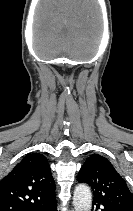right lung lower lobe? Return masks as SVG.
<instances>
[{"mask_svg": "<svg viewBox=\"0 0 133 211\" xmlns=\"http://www.w3.org/2000/svg\"><path fill=\"white\" fill-rule=\"evenodd\" d=\"M37 211H57L56 198L40 207Z\"/></svg>", "mask_w": 133, "mask_h": 211, "instance_id": "obj_1", "label": "right lung lower lobe"}]
</instances>
